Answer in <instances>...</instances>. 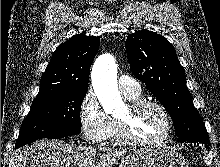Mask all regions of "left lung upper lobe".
<instances>
[{
    "instance_id": "obj_1",
    "label": "left lung upper lobe",
    "mask_w": 220,
    "mask_h": 167,
    "mask_svg": "<svg viewBox=\"0 0 220 167\" xmlns=\"http://www.w3.org/2000/svg\"><path fill=\"white\" fill-rule=\"evenodd\" d=\"M126 51L134 76L171 116L178 141H209L173 45L155 32L142 30L127 37Z\"/></svg>"
}]
</instances>
